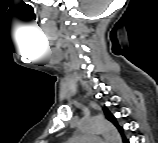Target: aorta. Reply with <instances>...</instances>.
Masks as SVG:
<instances>
[{
    "label": "aorta",
    "mask_w": 158,
    "mask_h": 143,
    "mask_svg": "<svg viewBox=\"0 0 158 143\" xmlns=\"http://www.w3.org/2000/svg\"><path fill=\"white\" fill-rule=\"evenodd\" d=\"M82 133H101L107 143H122L121 136L116 127L102 117L83 120L79 124Z\"/></svg>",
    "instance_id": "1"
}]
</instances>
